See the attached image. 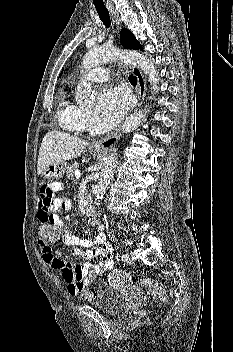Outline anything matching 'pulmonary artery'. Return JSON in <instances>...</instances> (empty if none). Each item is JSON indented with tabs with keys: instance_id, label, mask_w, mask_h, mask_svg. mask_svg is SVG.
<instances>
[{
	"instance_id": "e3ab8cb5",
	"label": "pulmonary artery",
	"mask_w": 233,
	"mask_h": 352,
	"mask_svg": "<svg viewBox=\"0 0 233 352\" xmlns=\"http://www.w3.org/2000/svg\"><path fill=\"white\" fill-rule=\"evenodd\" d=\"M111 77L110 70L104 67H96L87 74V79L93 82H104Z\"/></svg>"
}]
</instances>
